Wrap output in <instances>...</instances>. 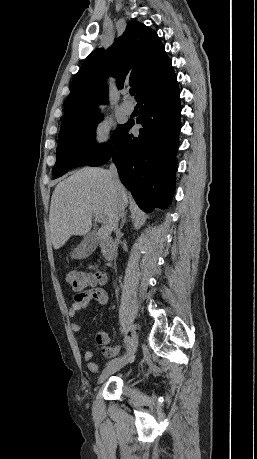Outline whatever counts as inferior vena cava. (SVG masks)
I'll list each match as a JSON object with an SVG mask.
<instances>
[{
  "mask_svg": "<svg viewBox=\"0 0 257 459\" xmlns=\"http://www.w3.org/2000/svg\"><path fill=\"white\" fill-rule=\"evenodd\" d=\"M108 175H109L111 183L115 186V188H117L118 185L120 184V180H119L117 168H116V166L114 164L110 165L109 171H108ZM122 209H123V200L121 198V194L119 193V198L117 200V213H116V216H115V221H116L115 230H116V234L117 235L119 234L117 222H118L119 216H121ZM117 244H118V239H116L114 244H113L115 256L117 254Z\"/></svg>",
  "mask_w": 257,
  "mask_h": 459,
  "instance_id": "obj_1",
  "label": "inferior vena cava"
}]
</instances>
